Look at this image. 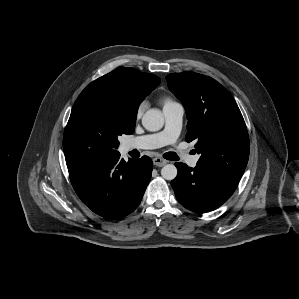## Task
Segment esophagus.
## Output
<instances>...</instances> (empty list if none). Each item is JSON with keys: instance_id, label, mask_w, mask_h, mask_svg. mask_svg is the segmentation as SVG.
<instances>
[{"instance_id": "obj_1", "label": "esophagus", "mask_w": 299, "mask_h": 299, "mask_svg": "<svg viewBox=\"0 0 299 299\" xmlns=\"http://www.w3.org/2000/svg\"><path fill=\"white\" fill-rule=\"evenodd\" d=\"M153 163L157 167H162V166H164L167 163V161L165 159H163V158L155 157L153 159Z\"/></svg>"}]
</instances>
